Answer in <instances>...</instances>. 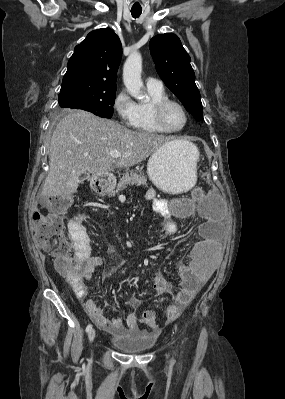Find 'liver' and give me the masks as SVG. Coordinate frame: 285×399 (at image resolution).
<instances>
[{"instance_id":"obj_1","label":"liver","mask_w":285,"mask_h":399,"mask_svg":"<svg viewBox=\"0 0 285 399\" xmlns=\"http://www.w3.org/2000/svg\"><path fill=\"white\" fill-rule=\"evenodd\" d=\"M169 142L170 138L163 135L134 131L89 112L73 110L52 134L50 168L42 195L69 198L77 192L82 174L99 177L113 166L129 168ZM111 151L121 157L112 158Z\"/></svg>"}]
</instances>
